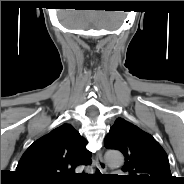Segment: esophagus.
<instances>
[{
    "label": "esophagus",
    "mask_w": 184,
    "mask_h": 184,
    "mask_svg": "<svg viewBox=\"0 0 184 184\" xmlns=\"http://www.w3.org/2000/svg\"><path fill=\"white\" fill-rule=\"evenodd\" d=\"M95 164L101 172L107 171V165L102 158V153L98 152L95 156Z\"/></svg>",
    "instance_id": "34e87169"
}]
</instances>
